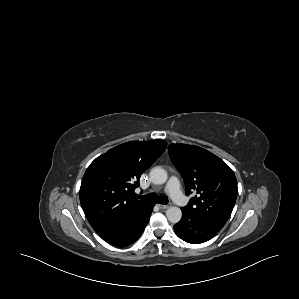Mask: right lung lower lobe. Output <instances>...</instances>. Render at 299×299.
Here are the masks:
<instances>
[{"label":"right lung lower lobe","instance_id":"1","mask_svg":"<svg viewBox=\"0 0 299 299\" xmlns=\"http://www.w3.org/2000/svg\"><path fill=\"white\" fill-rule=\"evenodd\" d=\"M154 205L151 204L143 212L130 219L97 229L96 232L106 242L125 247L135 242L144 231Z\"/></svg>","mask_w":299,"mask_h":299}]
</instances>
